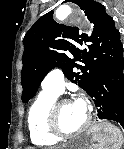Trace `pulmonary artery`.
Returning a JSON list of instances; mask_svg holds the SVG:
<instances>
[{
	"label": "pulmonary artery",
	"instance_id": "pulmonary-artery-1",
	"mask_svg": "<svg viewBox=\"0 0 124 149\" xmlns=\"http://www.w3.org/2000/svg\"><path fill=\"white\" fill-rule=\"evenodd\" d=\"M44 91L60 95L64 91V75L60 68L52 69L42 82Z\"/></svg>",
	"mask_w": 124,
	"mask_h": 149
}]
</instances>
